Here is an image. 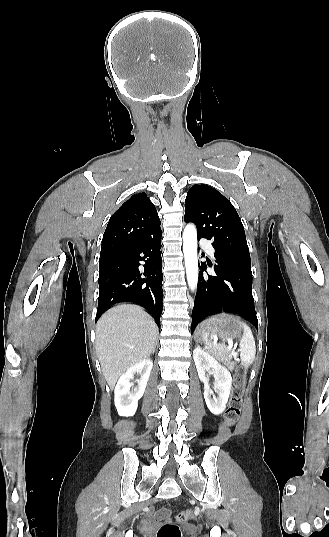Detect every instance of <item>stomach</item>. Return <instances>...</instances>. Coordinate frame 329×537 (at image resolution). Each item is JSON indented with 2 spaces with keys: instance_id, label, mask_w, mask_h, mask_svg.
<instances>
[{
  "instance_id": "0dacf381",
  "label": "stomach",
  "mask_w": 329,
  "mask_h": 537,
  "mask_svg": "<svg viewBox=\"0 0 329 537\" xmlns=\"http://www.w3.org/2000/svg\"><path fill=\"white\" fill-rule=\"evenodd\" d=\"M243 329L244 323L238 317L219 314L203 322L196 332V337L199 341L218 337L225 341L239 337Z\"/></svg>"
}]
</instances>
